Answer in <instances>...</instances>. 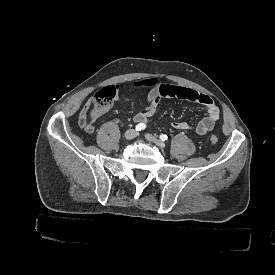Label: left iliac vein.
<instances>
[{"label":"left iliac vein","instance_id":"4c4485c4","mask_svg":"<svg viewBox=\"0 0 275 275\" xmlns=\"http://www.w3.org/2000/svg\"><path fill=\"white\" fill-rule=\"evenodd\" d=\"M146 139L151 142V143H155L156 145H158L161 149L165 148V143L159 139H157L155 136L151 135V134H146Z\"/></svg>","mask_w":275,"mask_h":275}]
</instances>
